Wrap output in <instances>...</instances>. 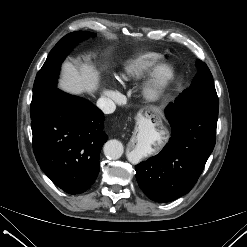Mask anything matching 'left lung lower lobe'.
<instances>
[{"mask_svg": "<svg viewBox=\"0 0 247 247\" xmlns=\"http://www.w3.org/2000/svg\"><path fill=\"white\" fill-rule=\"evenodd\" d=\"M218 108L198 95L179 97L166 107L172 127L169 143L135 166L137 182L148 198L169 202L192 189L215 146Z\"/></svg>", "mask_w": 247, "mask_h": 247, "instance_id": "1", "label": "left lung lower lobe"}]
</instances>
